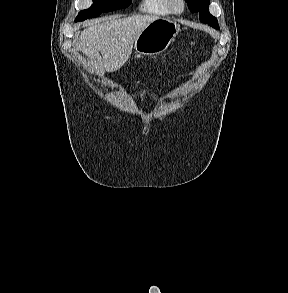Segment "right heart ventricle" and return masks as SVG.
<instances>
[{
    "label": "right heart ventricle",
    "mask_w": 288,
    "mask_h": 293,
    "mask_svg": "<svg viewBox=\"0 0 288 293\" xmlns=\"http://www.w3.org/2000/svg\"><path fill=\"white\" fill-rule=\"evenodd\" d=\"M139 7L144 12L156 15H168L172 13L167 6L166 0H142Z\"/></svg>",
    "instance_id": "obj_1"
}]
</instances>
